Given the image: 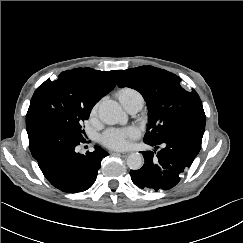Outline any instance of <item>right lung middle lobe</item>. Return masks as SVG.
<instances>
[{"label":"right lung middle lobe","mask_w":243,"mask_h":243,"mask_svg":"<svg viewBox=\"0 0 243 243\" xmlns=\"http://www.w3.org/2000/svg\"><path fill=\"white\" fill-rule=\"evenodd\" d=\"M91 107L68 96L50 79L35 91L26 115V120L47 118L63 125L78 137H83L82 123L89 118Z\"/></svg>","instance_id":"dd1d6c3e"}]
</instances>
